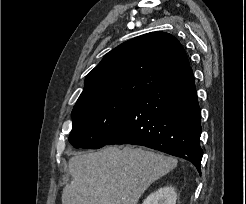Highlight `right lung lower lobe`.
<instances>
[{"label":"right lung lower lobe","instance_id":"98d812e1","mask_svg":"<svg viewBox=\"0 0 246 204\" xmlns=\"http://www.w3.org/2000/svg\"><path fill=\"white\" fill-rule=\"evenodd\" d=\"M201 112L189 67L139 95L107 145L133 144L193 163L200 172Z\"/></svg>","mask_w":246,"mask_h":204}]
</instances>
